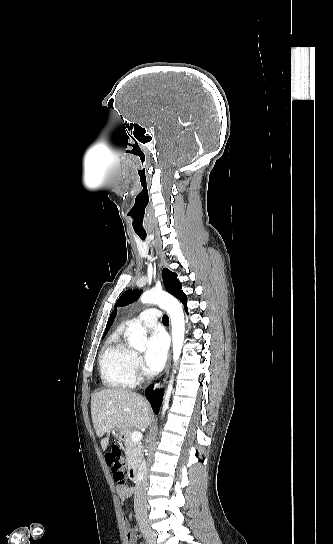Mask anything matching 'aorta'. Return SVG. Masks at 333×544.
Returning <instances> with one entry per match:
<instances>
[{
  "label": "aorta",
  "instance_id": "1",
  "mask_svg": "<svg viewBox=\"0 0 333 544\" xmlns=\"http://www.w3.org/2000/svg\"><path fill=\"white\" fill-rule=\"evenodd\" d=\"M140 300L142 303H154L158 304L161 308L165 309L170 315L171 326H172V342H173V360L174 362L178 361L182 346L184 344L185 337V320L183 308L179 301L170 295L161 290H150L144 292ZM144 328L141 326H135L129 336V344L136 350L143 351L145 349L144 345ZM172 391L171 381L168 385V389L164 396L163 404V414L169 407V399Z\"/></svg>",
  "mask_w": 333,
  "mask_h": 544
}]
</instances>
